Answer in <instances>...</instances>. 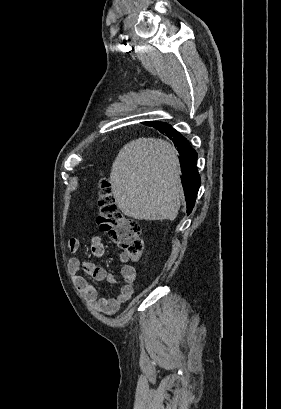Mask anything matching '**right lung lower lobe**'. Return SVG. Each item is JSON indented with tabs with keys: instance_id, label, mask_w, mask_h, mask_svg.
<instances>
[{
	"instance_id": "obj_1",
	"label": "right lung lower lobe",
	"mask_w": 281,
	"mask_h": 409,
	"mask_svg": "<svg viewBox=\"0 0 281 409\" xmlns=\"http://www.w3.org/2000/svg\"><path fill=\"white\" fill-rule=\"evenodd\" d=\"M160 132L165 133L171 140H173L175 147H177V150L181 155L180 165L185 184L184 193L187 203V214H189L194 207L200 187V176L196 168L197 153L188 144L186 138L170 125Z\"/></svg>"
}]
</instances>
